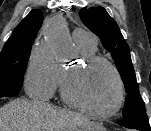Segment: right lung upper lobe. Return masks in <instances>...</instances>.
<instances>
[{"label": "right lung upper lobe", "mask_w": 151, "mask_h": 131, "mask_svg": "<svg viewBox=\"0 0 151 131\" xmlns=\"http://www.w3.org/2000/svg\"><path fill=\"white\" fill-rule=\"evenodd\" d=\"M42 22L41 10L33 9L13 30L4 47L32 45Z\"/></svg>", "instance_id": "1"}]
</instances>
